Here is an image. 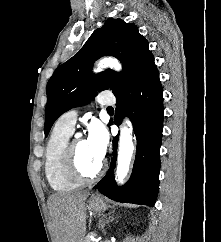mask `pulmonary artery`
Wrapping results in <instances>:
<instances>
[{"instance_id":"pulmonary-artery-1","label":"pulmonary artery","mask_w":221,"mask_h":242,"mask_svg":"<svg viewBox=\"0 0 221 242\" xmlns=\"http://www.w3.org/2000/svg\"><path fill=\"white\" fill-rule=\"evenodd\" d=\"M98 103H100L101 105H109L113 103V99L112 97H110V93L109 92H104L103 94H101L98 99H97ZM77 116H78V112L76 109H71L69 111H67L66 113H64L57 121L56 125L63 130L69 131V132H73L74 131V127L77 121Z\"/></svg>"}]
</instances>
